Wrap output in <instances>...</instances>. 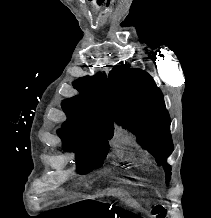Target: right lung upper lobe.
<instances>
[{
	"mask_svg": "<svg viewBox=\"0 0 211 218\" xmlns=\"http://www.w3.org/2000/svg\"><path fill=\"white\" fill-rule=\"evenodd\" d=\"M74 87L80 95L62 103L69 126L113 135L110 99L105 74L79 78Z\"/></svg>",
	"mask_w": 211,
	"mask_h": 218,
	"instance_id": "1",
	"label": "right lung upper lobe"
}]
</instances>
